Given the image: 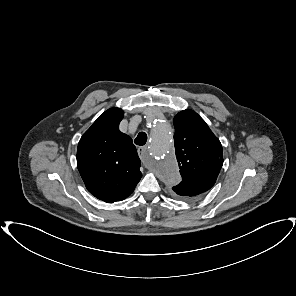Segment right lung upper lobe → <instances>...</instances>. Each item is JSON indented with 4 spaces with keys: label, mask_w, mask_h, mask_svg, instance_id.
Listing matches in <instances>:
<instances>
[{
    "label": "right lung upper lobe",
    "mask_w": 296,
    "mask_h": 296,
    "mask_svg": "<svg viewBox=\"0 0 296 296\" xmlns=\"http://www.w3.org/2000/svg\"><path fill=\"white\" fill-rule=\"evenodd\" d=\"M120 108L105 111L81 137L77 166L88 191L114 203L127 198L142 177L132 139L119 130Z\"/></svg>",
    "instance_id": "1"
}]
</instances>
